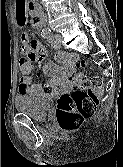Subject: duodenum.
I'll return each instance as SVG.
<instances>
[{
    "instance_id": "410a0bca",
    "label": "duodenum",
    "mask_w": 123,
    "mask_h": 167,
    "mask_svg": "<svg viewBox=\"0 0 123 167\" xmlns=\"http://www.w3.org/2000/svg\"><path fill=\"white\" fill-rule=\"evenodd\" d=\"M29 6L33 13L35 20L37 21L36 27L38 29H41L43 27V19H44L42 13L37 9L34 0H29Z\"/></svg>"
}]
</instances>
